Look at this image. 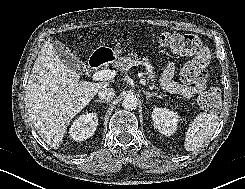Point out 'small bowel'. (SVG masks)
<instances>
[{"label":"small bowel","mask_w":245,"mask_h":189,"mask_svg":"<svg viewBox=\"0 0 245 189\" xmlns=\"http://www.w3.org/2000/svg\"><path fill=\"white\" fill-rule=\"evenodd\" d=\"M174 74V67L172 64H167L162 71L160 77V84L164 90L170 93L179 94L185 98H192L202 92L207 88L205 80L200 81L199 83L191 86H183L174 81L172 77Z\"/></svg>","instance_id":"small-bowel-1"}]
</instances>
